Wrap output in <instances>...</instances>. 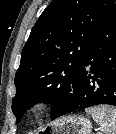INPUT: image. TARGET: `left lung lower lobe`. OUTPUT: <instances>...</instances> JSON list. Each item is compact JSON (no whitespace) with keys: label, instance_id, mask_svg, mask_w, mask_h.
Masks as SVG:
<instances>
[{"label":"left lung lower lobe","instance_id":"obj_1","mask_svg":"<svg viewBox=\"0 0 116 134\" xmlns=\"http://www.w3.org/2000/svg\"><path fill=\"white\" fill-rule=\"evenodd\" d=\"M100 104L116 106V5L90 43L74 95L51 118Z\"/></svg>","mask_w":116,"mask_h":134}]
</instances>
